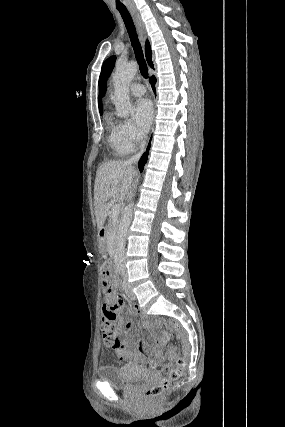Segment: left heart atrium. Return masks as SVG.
Instances as JSON below:
<instances>
[{"label": "left heart atrium", "mask_w": 285, "mask_h": 427, "mask_svg": "<svg viewBox=\"0 0 285 427\" xmlns=\"http://www.w3.org/2000/svg\"><path fill=\"white\" fill-rule=\"evenodd\" d=\"M153 116V107L148 99L143 98L135 102L133 118L142 133H145L149 129Z\"/></svg>", "instance_id": "39dd6f15"}]
</instances>
